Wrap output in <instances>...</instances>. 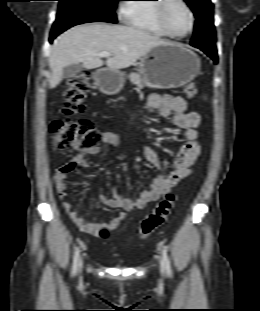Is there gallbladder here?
<instances>
[{"label": "gallbladder", "mask_w": 260, "mask_h": 311, "mask_svg": "<svg viewBox=\"0 0 260 311\" xmlns=\"http://www.w3.org/2000/svg\"><path fill=\"white\" fill-rule=\"evenodd\" d=\"M82 70L83 65L81 63L68 65L63 69L62 77L65 79L72 78L80 73Z\"/></svg>", "instance_id": "gallbladder-1"}]
</instances>
